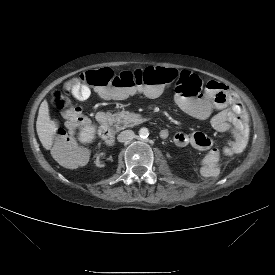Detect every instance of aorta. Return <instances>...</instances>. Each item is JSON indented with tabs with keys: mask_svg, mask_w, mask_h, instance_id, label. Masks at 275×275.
<instances>
[{
	"mask_svg": "<svg viewBox=\"0 0 275 275\" xmlns=\"http://www.w3.org/2000/svg\"><path fill=\"white\" fill-rule=\"evenodd\" d=\"M139 135L142 138H146L149 136V130L147 128L143 127L139 130Z\"/></svg>",
	"mask_w": 275,
	"mask_h": 275,
	"instance_id": "obj_1",
	"label": "aorta"
}]
</instances>
